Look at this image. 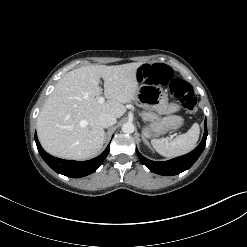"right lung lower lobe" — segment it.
Returning <instances> with one entry per match:
<instances>
[{"mask_svg":"<svg viewBox=\"0 0 247 247\" xmlns=\"http://www.w3.org/2000/svg\"><path fill=\"white\" fill-rule=\"evenodd\" d=\"M35 142H36L39 154L41 155L43 160L54 171H56L59 174L72 177V178L84 177V176H87L95 172L99 168V166L103 163L110 149L108 145L102 154L88 161H72V160L59 159V158L49 155L41 147L36 134H35Z\"/></svg>","mask_w":247,"mask_h":247,"instance_id":"right-lung-lower-lobe-1","label":"right lung lower lobe"}]
</instances>
